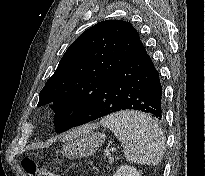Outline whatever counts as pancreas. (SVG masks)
<instances>
[{
    "instance_id": "obj_1",
    "label": "pancreas",
    "mask_w": 205,
    "mask_h": 176,
    "mask_svg": "<svg viewBox=\"0 0 205 176\" xmlns=\"http://www.w3.org/2000/svg\"><path fill=\"white\" fill-rule=\"evenodd\" d=\"M114 159L112 157H109V163L112 164Z\"/></svg>"
}]
</instances>
